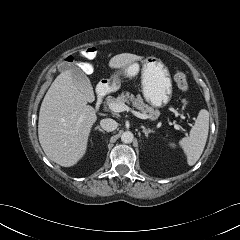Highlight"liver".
<instances>
[{
	"label": "liver",
	"mask_w": 240,
	"mask_h": 240,
	"mask_svg": "<svg viewBox=\"0 0 240 240\" xmlns=\"http://www.w3.org/2000/svg\"><path fill=\"white\" fill-rule=\"evenodd\" d=\"M142 58L131 53L118 54L110 59L109 67L125 68ZM87 102L86 95L74 84L72 70L61 72L51 84L38 121L39 142L51 161L71 167L84 156L97 120L95 109Z\"/></svg>",
	"instance_id": "6515ba94"
}]
</instances>
